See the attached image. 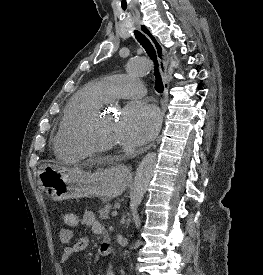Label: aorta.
<instances>
[{"mask_svg": "<svg viewBox=\"0 0 263 275\" xmlns=\"http://www.w3.org/2000/svg\"><path fill=\"white\" fill-rule=\"evenodd\" d=\"M127 70L133 75H143L151 71V64L143 58H132L127 63ZM156 161V153H148L137 168L131 196L132 210H135L144 198L155 170Z\"/></svg>", "mask_w": 263, "mask_h": 275, "instance_id": "aorta-1", "label": "aorta"}]
</instances>
